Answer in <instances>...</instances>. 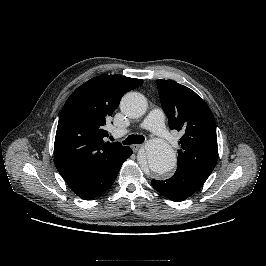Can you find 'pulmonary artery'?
<instances>
[{"mask_svg":"<svg viewBox=\"0 0 266 266\" xmlns=\"http://www.w3.org/2000/svg\"><path fill=\"white\" fill-rule=\"evenodd\" d=\"M141 129H146L166 141L167 144L171 145L173 140L169 132L164 127V114L162 110L155 108L149 112L147 117L140 125Z\"/></svg>","mask_w":266,"mask_h":266,"instance_id":"obj_1","label":"pulmonary artery"}]
</instances>
